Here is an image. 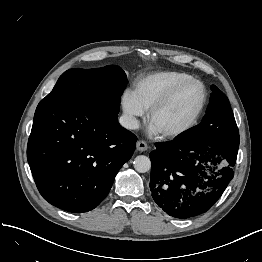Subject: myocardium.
Masks as SVG:
<instances>
[{"instance_id": "myocardium-1", "label": "myocardium", "mask_w": 262, "mask_h": 262, "mask_svg": "<svg viewBox=\"0 0 262 262\" xmlns=\"http://www.w3.org/2000/svg\"><path fill=\"white\" fill-rule=\"evenodd\" d=\"M189 84H198L202 88V99L199 104V107L196 110V112L194 113V115L192 116V118L185 125H183L182 127L178 129L172 130V131H166V132L160 133L162 138L175 139V138L183 136L184 134L188 133L191 129H193L195 125L198 123L199 119L201 118L203 111L205 109L206 103H207V98H208L207 89L201 81L194 79V78H190V79L184 80L176 84L175 86H173L154 105L150 107L149 113H148V121L151 122L155 114L159 112L161 109H163L165 106H167L171 102V100L175 97V95L182 88H184L185 86Z\"/></svg>"}]
</instances>
